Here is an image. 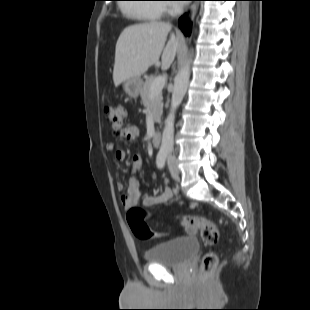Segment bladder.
Returning a JSON list of instances; mask_svg holds the SVG:
<instances>
[{
	"label": "bladder",
	"instance_id": "31cf9c89",
	"mask_svg": "<svg viewBox=\"0 0 310 310\" xmlns=\"http://www.w3.org/2000/svg\"><path fill=\"white\" fill-rule=\"evenodd\" d=\"M198 252V241L192 236H182L152 246L145 252V259L149 264L181 266Z\"/></svg>",
	"mask_w": 310,
	"mask_h": 310
}]
</instances>
